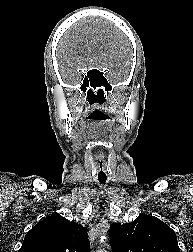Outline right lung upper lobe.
Here are the masks:
<instances>
[{"instance_id":"obj_1","label":"right lung upper lobe","mask_w":193,"mask_h":252,"mask_svg":"<svg viewBox=\"0 0 193 252\" xmlns=\"http://www.w3.org/2000/svg\"><path fill=\"white\" fill-rule=\"evenodd\" d=\"M89 248L84 227L52 214L28 231L18 252H89Z\"/></svg>"}]
</instances>
